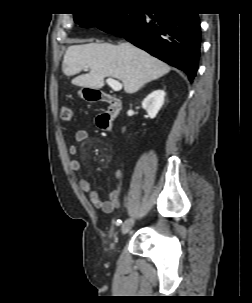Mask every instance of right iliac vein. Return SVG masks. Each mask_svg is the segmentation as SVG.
<instances>
[{
	"label": "right iliac vein",
	"mask_w": 252,
	"mask_h": 303,
	"mask_svg": "<svg viewBox=\"0 0 252 303\" xmlns=\"http://www.w3.org/2000/svg\"><path fill=\"white\" fill-rule=\"evenodd\" d=\"M135 220L133 218H129L125 220L121 225V232L123 235L127 234L134 225Z\"/></svg>",
	"instance_id": "right-iliac-vein-1"
}]
</instances>
